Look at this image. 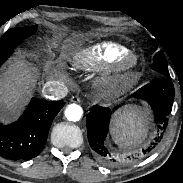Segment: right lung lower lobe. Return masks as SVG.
Returning a JSON list of instances; mask_svg holds the SVG:
<instances>
[{"label": "right lung lower lobe", "instance_id": "obj_1", "mask_svg": "<svg viewBox=\"0 0 183 183\" xmlns=\"http://www.w3.org/2000/svg\"><path fill=\"white\" fill-rule=\"evenodd\" d=\"M12 53L0 56V66ZM63 106V101L32 98L17 121L8 125L0 123V156L10 160L37 156L44 148L53 119Z\"/></svg>", "mask_w": 183, "mask_h": 183}]
</instances>
